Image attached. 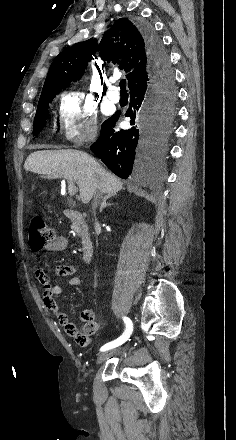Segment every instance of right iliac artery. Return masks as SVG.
<instances>
[{
	"mask_svg": "<svg viewBox=\"0 0 236 440\" xmlns=\"http://www.w3.org/2000/svg\"><path fill=\"white\" fill-rule=\"evenodd\" d=\"M123 320L126 324V329H125L124 333L118 339L102 346L100 351H106V350L115 348V347L123 344L130 337V335L133 331L132 321L128 317H124Z\"/></svg>",
	"mask_w": 236,
	"mask_h": 440,
	"instance_id": "82829eb1",
	"label": "right iliac artery"
}]
</instances>
